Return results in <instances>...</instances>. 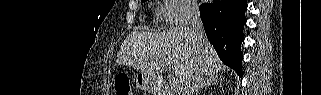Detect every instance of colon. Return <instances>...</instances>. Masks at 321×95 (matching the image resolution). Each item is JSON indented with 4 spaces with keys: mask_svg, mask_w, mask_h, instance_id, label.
I'll return each instance as SVG.
<instances>
[{
    "mask_svg": "<svg viewBox=\"0 0 321 95\" xmlns=\"http://www.w3.org/2000/svg\"><path fill=\"white\" fill-rule=\"evenodd\" d=\"M115 91L117 95H132L130 80L125 75H118L115 79Z\"/></svg>",
    "mask_w": 321,
    "mask_h": 95,
    "instance_id": "5ec220e1",
    "label": "colon"
}]
</instances>
